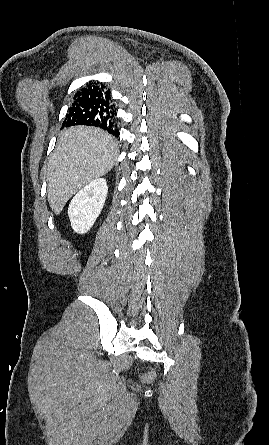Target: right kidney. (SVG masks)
<instances>
[{
	"instance_id": "obj_1",
	"label": "right kidney",
	"mask_w": 269,
	"mask_h": 445,
	"mask_svg": "<svg viewBox=\"0 0 269 445\" xmlns=\"http://www.w3.org/2000/svg\"><path fill=\"white\" fill-rule=\"evenodd\" d=\"M108 192L104 178L91 181L72 199L68 208V216L74 232H88L103 209Z\"/></svg>"
}]
</instances>
